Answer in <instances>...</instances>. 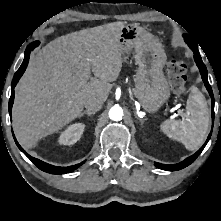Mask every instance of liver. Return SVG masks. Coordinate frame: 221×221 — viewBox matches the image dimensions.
Segmentation results:
<instances>
[{
	"label": "liver",
	"mask_w": 221,
	"mask_h": 221,
	"mask_svg": "<svg viewBox=\"0 0 221 221\" xmlns=\"http://www.w3.org/2000/svg\"><path fill=\"white\" fill-rule=\"evenodd\" d=\"M124 26L114 22L58 37L30 59L12 110L23 146L32 148L75 120L89 98L106 101L122 69L119 37ZM91 72L95 77L90 78Z\"/></svg>",
	"instance_id": "obj_1"
}]
</instances>
